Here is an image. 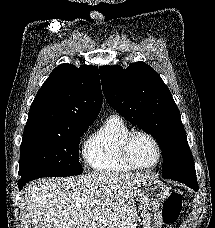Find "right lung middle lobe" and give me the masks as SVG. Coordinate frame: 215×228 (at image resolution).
I'll return each instance as SVG.
<instances>
[{"label":"right lung middle lobe","mask_w":215,"mask_h":228,"mask_svg":"<svg viewBox=\"0 0 215 228\" xmlns=\"http://www.w3.org/2000/svg\"><path fill=\"white\" fill-rule=\"evenodd\" d=\"M93 122L55 125L24 131L18 182L83 172L79 163L80 137Z\"/></svg>","instance_id":"dd1d6c3e"}]
</instances>
